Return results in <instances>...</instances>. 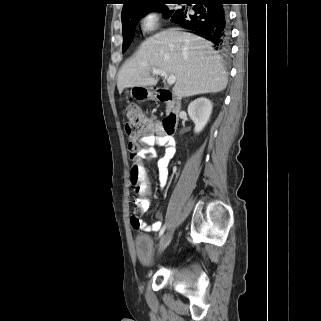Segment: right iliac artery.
I'll list each match as a JSON object with an SVG mask.
<instances>
[{
  "label": "right iliac artery",
  "mask_w": 321,
  "mask_h": 321,
  "mask_svg": "<svg viewBox=\"0 0 321 321\" xmlns=\"http://www.w3.org/2000/svg\"><path fill=\"white\" fill-rule=\"evenodd\" d=\"M165 229H166V225H164V226L161 228L160 233H159V237H161V236L163 235Z\"/></svg>",
  "instance_id": "right-iliac-artery-1"
}]
</instances>
